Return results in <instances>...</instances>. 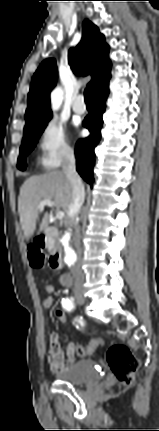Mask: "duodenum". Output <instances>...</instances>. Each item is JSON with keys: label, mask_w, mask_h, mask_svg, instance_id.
Listing matches in <instances>:
<instances>
[{"label": "duodenum", "mask_w": 159, "mask_h": 431, "mask_svg": "<svg viewBox=\"0 0 159 431\" xmlns=\"http://www.w3.org/2000/svg\"><path fill=\"white\" fill-rule=\"evenodd\" d=\"M58 237V230L54 227H46L40 235L42 242H50ZM50 267L54 270H58L62 267V252L59 248H55L49 258Z\"/></svg>", "instance_id": "duodenum-1"}]
</instances>
